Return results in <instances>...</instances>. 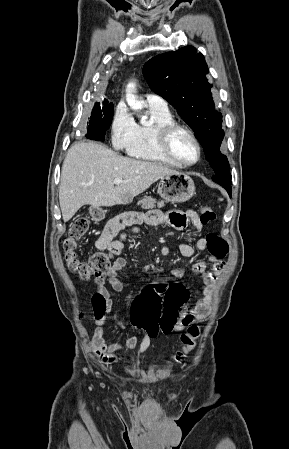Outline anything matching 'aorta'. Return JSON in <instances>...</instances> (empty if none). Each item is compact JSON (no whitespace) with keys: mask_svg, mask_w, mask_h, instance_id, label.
Segmentation results:
<instances>
[{"mask_svg":"<svg viewBox=\"0 0 289 449\" xmlns=\"http://www.w3.org/2000/svg\"><path fill=\"white\" fill-rule=\"evenodd\" d=\"M136 88L135 82H129L126 88V101L128 105L133 110H140L143 108V103L137 99V97L134 95Z\"/></svg>","mask_w":289,"mask_h":449,"instance_id":"762f6f07","label":"aorta"}]
</instances>
